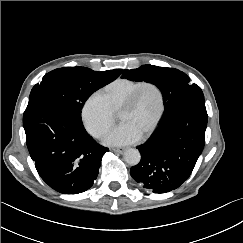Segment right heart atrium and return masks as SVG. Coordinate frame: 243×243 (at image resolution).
I'll list each match as a JSON object with an SVG mask.
<instances>
[{"instance_id": "d8ad5b80", "label": "right heart atrium", "mask_w": 243, "mask_h": 243, "mask_svg": "<svg viewBox=\"0 0 243 243\" xmlns=\"http://www.w3.org/2000/svg\"><path fill=\"white\" fill-rule=\"evenodd\" d=\"M81 118L84 127L95 138H103L114 124V115L99 92L90 95L83 104Z\"/></svg>"}]
</instances>
